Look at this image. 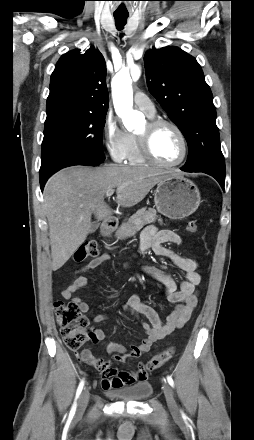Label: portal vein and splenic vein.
<instances>
[{"instance_id":"1","label":"portal vein and splenic vein","mask_w":254,"mask_h":440,"mask_svg":"<svg viewBox=\"0 0 254 440\" xmlns=\"http://www.w3.org/2000/svg\"><path fill=\"white\" fill-rule=\"evenodd\" d=\"M113 194H114V190H108V191L106 192V196H107V197H111Z\"/></svg>"}]
</instances>
